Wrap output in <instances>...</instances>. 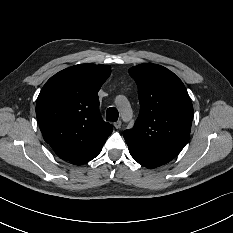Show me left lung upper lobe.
Returning <instances> with one entry per match:
<instances>
[{
	"label": "left lung upper lobe",
	"instance_id": "obj_1",
	"mask_svg": "<svg viewBox=\"0 0 233 233\" xmlns=\"http://www.w3.org/2000/svg\"><path fill=\"white\" fill-rule=\"evenodd\" d=\"M138 86L140 113L124 138L174 158L188 143L193 106L182 81L160 65L143 63L129 69Z\"/></svg>",
	"mask_w": 233,
	"mask_h": 233
}]
</instances>
